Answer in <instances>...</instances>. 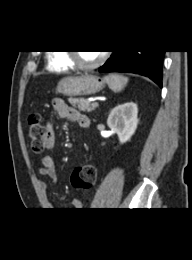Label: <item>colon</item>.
Returning a JSON list of instances; mask_svg holds the SVG:
<instances>
[{
  "mask_svg": "<svg viewBox=\"0 0 192 260\" xmlns=\"http://www.w3.org/2000/svg\"><path fill=\"white\" fill-rule=\"evenodd\" d=\"M28 134L34 153L40 154L48 147L49 137L40 114L30 115L28 119ZM96 178V167L91 163H85L73 171L71 182L75 189L88 191L94 186Z\"/></svg>",
  "mask_w": 192,
  "mask_h": 260,
  "instance_id": "5ec220e1",
  "label": "colon"
}]
</instances>
